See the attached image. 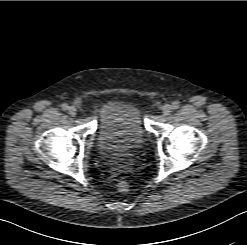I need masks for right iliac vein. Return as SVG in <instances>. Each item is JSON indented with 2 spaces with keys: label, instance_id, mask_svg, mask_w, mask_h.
Segmentation results:
<instances>
[{
  "label": "right iliac vein",
  "instance_id": "obj_1",
  "mask_svg": "<svg viewBox=\"0 0 247 245\" xmlns=\"http://www.w3.org/2000/svg\"><path fill=\"white\" fill-rule=\"evenodd\" d=\"M68 112H69V114H70L72 117H74V116H76V114H77V109H76V107H74V106H70L69 109H68Z\"/></svg>",
  "mask_w": 247,
  "mask_h": 245
}]
</instances>
